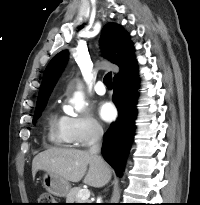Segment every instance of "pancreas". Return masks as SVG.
Here are the masks:
<instances>
[{
    "label": "pancreas",
    "instance_id": "1",
    "mask_svg": "<svg viewBox=\"0 0 200 205\" xmlns=\"http://www.w3.org/2000/svg\"><path fill=\"white\" fill-rule=\"evenodd\" d=\"M80 190L78 187L72 188L66 196V203H90L77 197Z\"/></svg>",
    "mask_w": 200,
    "mask_h": 205
}]
</instances>
